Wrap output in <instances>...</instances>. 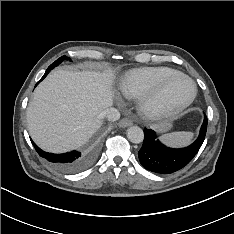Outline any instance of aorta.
<instances>
[{"instance_id":"obj_1","label":"aorta","mask_w":234,"mask_h":234,"mask_svg":"<svg viewBox=\"0 0 234 234\" xmlns=\"http://www.w3.org/2000/svg\"><path fill=\"white\" fill-rule=\"evenodd\" d=\"M127 138L135 144L143 142L144 133L143 130L138 126H131L127 129Z\"/></svg>"}]
</instances>
